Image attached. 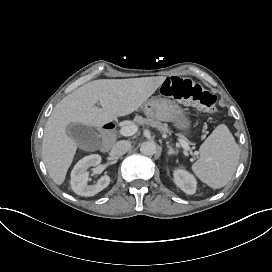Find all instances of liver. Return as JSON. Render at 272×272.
<instances>
[{
	"mask_svg": "<svg viewBox=\"0 0 272 272\" xmlns=\"http://www.w3.org/2000/svg\"><path fill=\"white\" fill-rule=\"evenodd\" d=\"M166 77L100 79L88 82L54 107L44 129L42 157L53 182L61 185L77 150L67 135L70 123L101 127L137 110ZM100 102L102 108L95 106Z\"/></svg>",
	"mask_w": 272,
	"mask_h": 272,
	"instance_id": "6515ba94",
	"label": "liver"
}]
</instances>
